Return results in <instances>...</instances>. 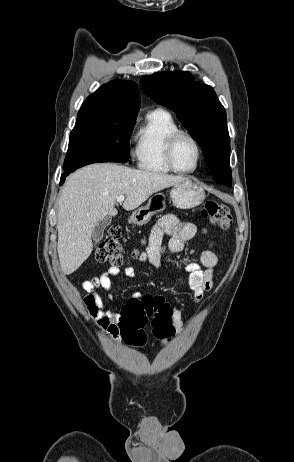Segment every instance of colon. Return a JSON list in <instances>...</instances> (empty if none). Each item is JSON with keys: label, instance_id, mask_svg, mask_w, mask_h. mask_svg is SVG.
I'll return each instance as SVG.
<instances>
[{"label": "colon", "instance_id": "1", "mask_svg": "<svg viewBox=\"0 0 294 462\" xmlns=\"http://www.w3.org/2000/svg\"><path fill=\"white\" fill-rule=\"evenodd\" d=\"M202 216L212 225L220 229L228 228L232 217L228 208L219 202L209 201L202 210ZM120 228L111 226L105 238L96 250V259L101 263L120 266L124 259L120 244ZM172 307L162 296L145 294L130 299L121 309L119 327L124 341L131 345L141 346L147 336L144 327L150 322L153 333L158 339H169L175 333L172 323Z\"/></svg>", "mask_w": 294, "mask_h": 462}]
</instances>
